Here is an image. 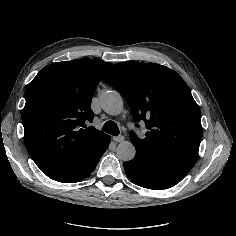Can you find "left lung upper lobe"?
Returning <instances> with one entry per match:
<instances>
[{"label":"left lung upper lobe","instance_id":"obj_1","mask_svg":"<svg viewBox=\"0 0 236 236\" xmlns=\"http://www.w3.org/2000/svg\"><path fill=\"white\" fill-rule=\"evenodd\" d=\"M103 81L122 94L134 121L145 122L144 139L130 133L133 145L187 174L198 158L203 132L200 109L179 74L156 63L122 62Z\"/></svg>","mask_w":236,"mask_h":236}]
</instances>
